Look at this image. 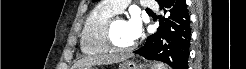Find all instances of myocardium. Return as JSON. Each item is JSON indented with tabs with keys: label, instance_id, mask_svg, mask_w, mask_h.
Wrapping results in <instances>:
<instances>
[{
	"label": "myocardium",
	"instance_id": "myocardium-1",
	"mask_svg": "<svg viewBox=\"0 0 246 69\" xmlns=\"http://www.w3.org/2000/svg\"><path fill=\"white\" fill-rule=\"evenodd\" d=\"M117 21H124V19L122 17H113L108 22V25H107V28H106V33H105L106 42H107L108 46L110 47V49H113V50H131V49H134L137 46V43H134L131 46H118L113 41V39H112V31H113L114 24Z\"/></svg>",
	"mask_w": 246,
	"mask_h": 69
}]
</instances>
